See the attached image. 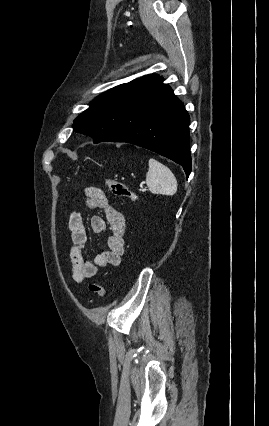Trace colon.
<instances>
[{
  "label": "colon",
  "mask_w": 269,
  "mask_h": 426,
  "mask_svg": "<svg viewBox=\"0 0 269 426\" xmlns=\"http://www.w3.org/2000/svg\"><path fill=\"white\" fill-rule=\"evenodd\" d=\"M104 184L114 196L127 198L131 201L137 199L136 194L123 182L106 177ZM89 291L97 298H103L105 295L104 287L97 282L89 284Z\"/></svg>",
  "instance_id": "colon-1"
}]
</instances>
